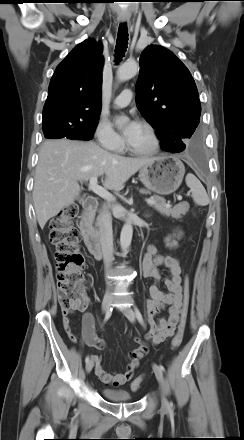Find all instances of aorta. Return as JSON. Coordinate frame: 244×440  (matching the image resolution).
Listing matches in <instances>:
<instances>
[{
  "instance_id": "aorta-1",
  "label": "aorta",
  "mask_w": 244,
  "mask_h": 440,
  "mask_svg": "<svg viewBox=\"0 0 244 440\" xmlns=\"http://www.w3.org/2000/svg\"><path fill=\"white\" fill-rule=\"evenodd\" d=\"M138 66L135 62H126L122 64L117 71V78L119 81H127L131 79L137 73ZM121 122L127 121V118L124 117L120 120ZM133 235V226L131 223L127 222L124 224L121 230L120 235V246L123 250V254L126 253L129 248Z\"/></svg>"
}]
</instances>
